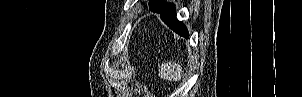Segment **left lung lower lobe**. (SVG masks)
<instances>
[{
    "mask_svg": "<svg viewBox=\"0 0 302 97\" xmlns=\"http://www.w3.org/2000/svg\"><path fill=\"white\" fill-rule=\"evenodd\" d=\"M149 8L152 12L160 14L164 23L180 36L189 38L185 25L176 18V10L173 4H165L161 0H151Z\"/></svg>",
    "mask_w": 302,
    "mask_h": 97,
    "instance_id": "0a47b994",
    "label": "left lung lower lobe"
}]
</instances>
